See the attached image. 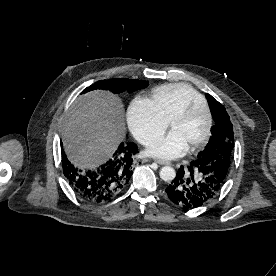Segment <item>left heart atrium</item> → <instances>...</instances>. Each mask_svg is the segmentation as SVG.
Listing matches in <instances>:
<instances>
[{
    "label": "left heart atrium",
    "mask_w": 276,
    "mask_h": 276,
    "mask_svg": "<svg viewBox=\"0 0 276 276\" xmlns=\"http://www.w3.org/2000/svg\"><path fill=\"white\" fill-rule=\"evenodd\" d=\"M189 147L184 139L174 130L153 142L147 153L155 158L171 160L183 156Z\"/></svg>",
    "instance_id": "1"
}]
</instances>
